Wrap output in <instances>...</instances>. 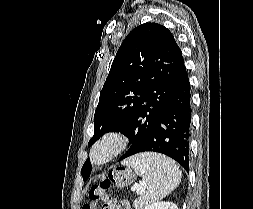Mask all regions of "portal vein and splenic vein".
Returning a JSON list of instances; mask_svg holds the SVG:
<instances>
[{"label": "portal vein and splenic vein", "mask_w": 253, "mask_h": 209, "mask_svg": "<svg viewBox=\"0 0 253 209\" xmlns=\"http://www.w3.org/2000/svg\"><path fill=\"white\" fill-rule=\"evenodd\" d=\"M135 190H136L137 194H143L144 193V189H142V188L136 187Z\"/></svg>", "instance_id": "1"}]
</instances>
